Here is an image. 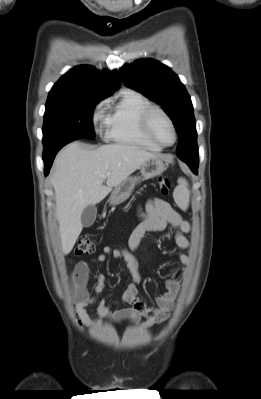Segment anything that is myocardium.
<instances>
[{
    "label": "myocardium",
    "instance_id": "f54148a6",
    "mask_svg": "<svg viewBox=\"0 0 261 399\" xmlns=\"http://www.w3.org/2000/svg\"><path fill=\"white\" fill-rule=\"evenodd\" d=\"M154 113H160L162 116H164V118L170 124L172 131H173V136H174L172 143L163 144L154 136V134L152 132V128H151V118ZM140 123H141V129H142V132L144 133V135L156 146H158L160 148H168V147L173 146L176 143L177 138H178V133H177L175 123H174L173 119L170 117V115L162 108H160L158 106H154V105H151L148 108H146L141 114Z\"/></svg>",
    "mask_w": 261,
    "mask_h": 399
}]
</instances>
